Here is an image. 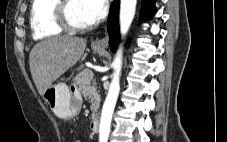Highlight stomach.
Here are the masks:
<instances>
[{
  "instance_id": "stomach-1",
  "label": "stomach",
  "mask_w": 227,
  "mask_h": 142,
  "mask_svg": "<svg viewBox=\"0 0 227 142\" xmlns=\"http://www.w3.org/2000/svg\"><path fill=\"white\" fill-rule=\"evenodd\" d=\"M99 54L105 52L104 49L93 47ZM43 99L61 119H71L80 110V101H76L71 94L69 87L65 83H57L49 86L42 95Z\"/></svg>"
}]
</instances>
